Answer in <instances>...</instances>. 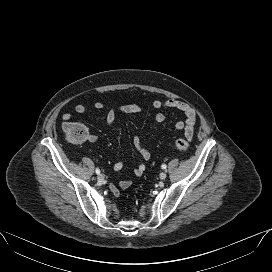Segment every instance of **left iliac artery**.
Segmentation results:
<instances>
[{"label": "left iliac artery", "instance_id": "left-iliac-artery-1", "mask_svg": "<svg viewBox=\"0 0 272 272\" xmlns=\"http://www.w3.org/2000/svg\"><path fill=\"white\" fill-rule=\"evenodd\" d=\"M161 167H162V169H166L167 166H166V164H163Z\"/></svg>", "mask_w": 272, "mask_h": 272}]
</instances>
